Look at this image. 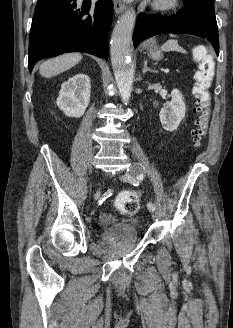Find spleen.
I'll use <instances>...</instances> for the list:
<instances>
[{
	"instance_id": "3e777b00",
	"label": "spleen",
	"mask_w": 233,
	"mask_h": 328,
	"mask_svg": "<svg viewBox=\"0 0 233 328\" xmlns=\"http://www.w3.org/2000/svg\"><path fill=\"white\" fill-rule=\"evenodd\" d=\"M161 49L166 52L176 51V52L186 53V51L181 46H179L178 41L174 39H170L166 41L162 45Z\"/></svg>"
}]
</instances>
